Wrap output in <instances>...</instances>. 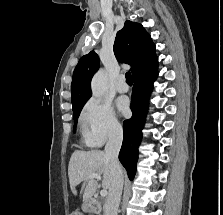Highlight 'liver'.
Segmentation results:
<instances>
[{"label":"liver","mask_w":223,"mask_h":215,"mask_svg":"<svg viewBox=\"0 0 223 215\" xmlns=\"http://www.w3.org/2000/svg\"><path fill=\"white\" fill-rule=\"evenodd\" d=\"M110 159L106 157L105 151L92 149V151H79L76 149L72 153L68 165V175L70 187L73 193H77L75 187L81 181H87L83 199H91L97 189V181L94 177H88L90 173H103L102 187H110L112 181L111 171L109 169Z\"/></svg>","instance_id":"liver-1"}]
</instances>
